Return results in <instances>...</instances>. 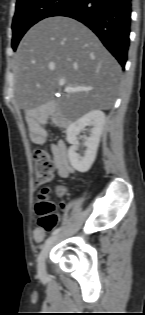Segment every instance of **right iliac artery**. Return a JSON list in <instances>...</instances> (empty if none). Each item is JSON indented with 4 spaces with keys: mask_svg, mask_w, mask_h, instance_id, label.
<instances>
[{
    "mask_svg": "<svg viewBox=\"0 0 145 315\" xmlns=\"http://www.w3.org/2000/svg\"><path fill=\"white\" fill-rule=\"evenodd\" d=\"M60 231V228H56L55 230H53L52 235H56L58 234Z\"/></svg>",
    "mask_w": 145,
    "mask_h": 315,
    "instance_id": "1",
    "label": "right iliac artery"
}]
</instances>
